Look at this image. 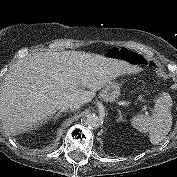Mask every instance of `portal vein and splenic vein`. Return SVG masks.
Listing matches in <instances>:
<instances>
[{
    "instance_id": "obj_1",
    "label": "portal vein and splenic vein",
    "mask_w": 177,
    "mask_h": 177,
    "mask_svg": "<svg viewBox=\"0 0 177 177\" xmlns=\"http://www.w3.org/2000/svg\"><path fill=\"white\" fill-rule=\"evenodd\" d=\"M142 110L145 112L146 115H149V112H148V110H147V106H146V105H144V106L142 107Z\"/></svg>"
}]
</instances>
